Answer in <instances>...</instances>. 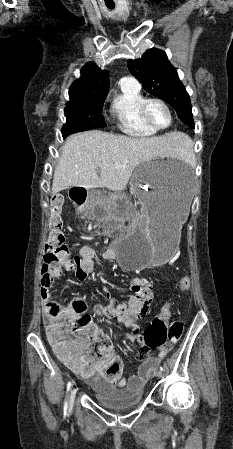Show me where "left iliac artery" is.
<instances>
[{
  "label": "left iliac artery",
  "mask_w": 233,
  "mask_h": 449,
  "mask_svg": "<svg viewBox=\"0 0 233 449\" xmlns=\"http://www.w3.org/2000/svg\"><path fill=\"white\" fill-rule=\"evenodd\" d=\"M160 370H161V371H164V368L161 366V367H160Z\"/></svg>",
  "instance_id": "left-iliac-artery-1"
}]
</instances>
